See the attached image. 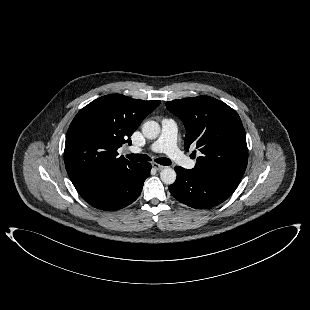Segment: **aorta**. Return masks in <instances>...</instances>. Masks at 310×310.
Instances as JSON below:
<instances>
[{
  "label": "aorta",
  "instance_id": "obj_1",
  "mask_svg": "<svg viewBox=\"0 0 310 310\" xmlns=\"http://www.w3.org/2000/svg\"><path fill=\"white\" fill-rule=\"evenodd\" d=\"M142 133L148 139H155L160 133V125L156 121H147L142 126ZM176 172L170 167L164 168L160 173V178L164 184H173L176 180Z\"/></svg>",
  "mask_w": 310,
  "mask_h": 310
}]
</instances>
